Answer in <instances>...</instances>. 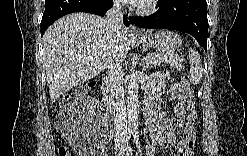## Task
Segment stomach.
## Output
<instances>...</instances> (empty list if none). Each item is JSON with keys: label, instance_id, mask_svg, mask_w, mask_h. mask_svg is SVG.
<instances>
[{"label": "stomach", "instance_id": "stomach-1", "mask_svg": "<svg viewBox=\"0 0 247 156\" xmlns=\"http://www.w3.org/2000/svg\"><path fill=\"white\" fill-rule=\"evenodd\" d=\"M137 39L144 46L155 49L159 53H171L178 49L182 44L181 36L169 30H161L155 33L139 35Z\"/></svg>", "mask_w": 247, "mask_h": 156}]
</instances>
